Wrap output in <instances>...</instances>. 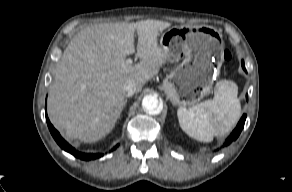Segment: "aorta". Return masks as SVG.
Segmentation results:
<instances>
[{
	"label": "aorta",
	"instance_id": "762f6f07",
	"mask_svg": "<svg viewBox=\"0 0 292 192\" xmlns=\"http://www.w3.org/2000/svg\"><path fill=\"white\" fill-rule=\"evenodd\" d=\"M142 107L151 115H157L162 111V105L155 95H146L142 100Z\"/></svg>",
	"mask_w": 292,
	"mask_h": 192
}]
</instances>
